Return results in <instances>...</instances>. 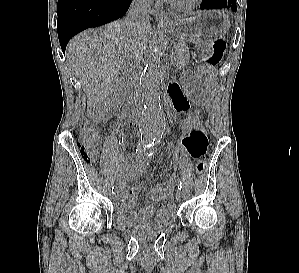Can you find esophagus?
Segmentation results:
<instances>
[{
	"instance_id": "34e87169",
	"label": "esophagus",
	"mask_w": 299,
	"mask_h": 273,
	"mask_svg": "<svg viewBox=\"0 0 299 273\" xmlns=\"http://www.w3.org/2000/svg\"><path fill=\"white\" fill-rule=\"evenodd\" d=\"M156 21L158 24H167L170 22V20L166 16H163V15L157 16Z\"/></svg>"
}]
</instances>
